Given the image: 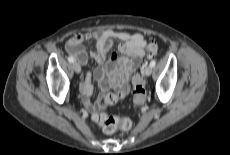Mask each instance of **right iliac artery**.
Here are the masks:
<instances>
[{"instance_id":"1","label":"right iliac artery","mask_w":230,"mask_h":155,"mask_svg":"<svg viewBox=\"0 0 230 155\" xmlns=\"http://www.w3.org/2000/svg\"><path fill=\"white\" fill-rule=\"evenodd\" d=\"M68 61L70 62V63H73L74 62V58L73 57H68Z\"/></svg>"}]
</instances>
